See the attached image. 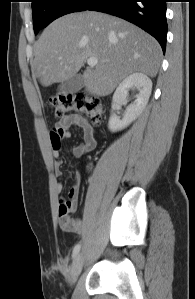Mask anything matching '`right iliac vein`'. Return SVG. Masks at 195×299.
<instances>
[{"label":"right iliac vein","mask_w":195,"mask_h":299,"mask_svg":"<svg viewBox=\"0 0 195 299\" xmlns=\"http://www.w3.org/2000/svg\"><path fill=\"white\" fill-rule=\"evenodd\" d=\"M82 266H83V254L78 253L74 257L73 263H72L71 268H70L69 275H70V284L71 285H73L76 282L78 276L81 273Z\"/></svg>","instance_id":"1"}]
</instances>
